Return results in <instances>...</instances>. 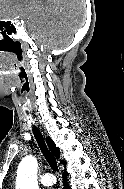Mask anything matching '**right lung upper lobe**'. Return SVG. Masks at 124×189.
Wrapping results in <instances>:
<instances>
[{"instance_id":"cb5924a9","label":"right lung upper lobe","mask_w":124,"mask_h":189,"mask_svg":"<svg viewBox=\"0 0 124 189\" xmlns=\"http://www.w3.org/2000/svg\"><path fill=\"white\" fill-rule=\"evenodd\" d=\"M47 144L50 148V150L52 151V153L54 154V156L59 159L60 157V151L59 149L56 147L55 143L50 139L47 138ZM61 163H65L64 161H61Z\"/></svg>"}]
</instances>
